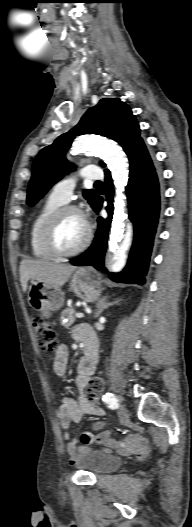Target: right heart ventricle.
<instances>
[{"label":"right heart ventricle","mask_w":192,"mask_h":527,"mask_svg":"<svg viewBox=\"0 0 192 527\" xmlns=\"http://www.w3.org/2000/svg\"><path fill=\"white\" fill-rule=\"evenodd\" d=\"M63 203L49 197L34 215L29 229V244L31 253L39 259H50L52 256L46 251L42 243V231L51 214Z\"/></svg>","instance_id":"obj_1"}]
</instances>
